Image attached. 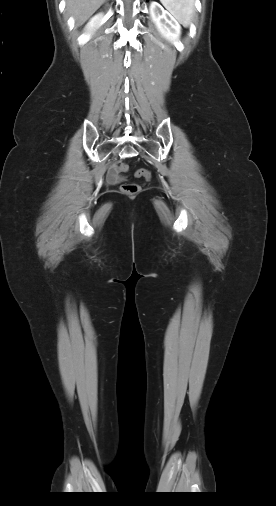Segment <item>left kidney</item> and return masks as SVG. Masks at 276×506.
<instances>
[{"mask_svg": "<svg viewBox=\"0 0 276 506\" xmlns=\"http://www.w3.org/2000/svg\"><path fill=\"white\" fill-rule=\"evenodd\" d=\"M150 14L160 34L172 44L178 43L181 27L177 21L157 2L151 3Z\"/></svg>", "mask_w": 276, "mask_h": 506, "instance_id": "1", "label": "left kidney"}]
</instances>
